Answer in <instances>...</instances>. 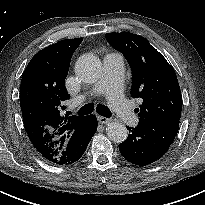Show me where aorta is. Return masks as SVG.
<instances>
[{
  "mask_svg": "<svg viewBox=\"0 0 205 205\" xmlns=\"http://www.w3.org/2000/svg\"><path fill=\"white\" fill-rule=\"evenodd\" d=\"M75 73L79 80L84 83L97 82L102 73L100 60L93 54H84L76 62ZM107 136L116 143L126 140L128 130L124 124L117 121L110 122L106 128Z\"/></svg>",
  "mask_w": 205,
  "mask_h": 205,
  "instance_id": "obj_1",
  "label": "aorta"
}]
</instances>
